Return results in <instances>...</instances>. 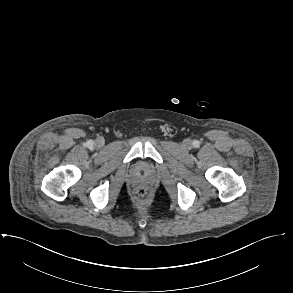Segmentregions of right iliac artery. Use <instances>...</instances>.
<instances>
[{"instance_id": "1", "label": "right iliac artery", "mask_w": 293, "mask_h": 293, "mask_svg": "<svg viewBox=\"0 0 293 293\" xmlns=\"http://www.w3.org/2000/svg\"><path fill=\"white\" fill-rule=\"evenodd\" d=\"M87 145L88 146H93V141H88Z\"/></svg>"}]
</instances>
